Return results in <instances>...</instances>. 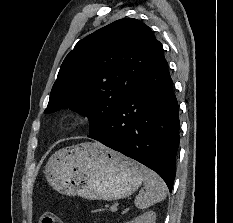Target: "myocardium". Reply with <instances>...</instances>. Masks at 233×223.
Masks as SVG:
<instances>
[{
	"label": "myocardium",
	"mask_w": 233,
	"mask_h": 223,
	"mask_svg": "<svg viewBox=\"0 0 233 223\" xmlns=\"http://www.w3.org/2000/svg\"><path fill=\"white\" fill-rule=\"evenodd\" d=\"M91 120L90 114L79 108H69L59 118V128L64 132H72L84 128Z\"/></svg>",
	"instance_id": "f54148a6"
}]
</instances>
